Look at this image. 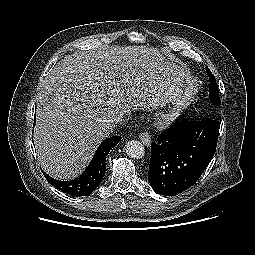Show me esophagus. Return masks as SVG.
<instances>
[{"label": "esophagus", "mask_w": 255, "mask_h": 255, "mask_svg": "<svg viewBox=\"0 0 255 255\" xmlns=\"http://www.w3.org/2000/svg\"><path fill=\"white\" fill-rule=\"evenodd\" d=\"M139 138L142 141V143L147 147H149L152 143L151 137L147 132L140 133Z\"/></svg>", "instance_id": "1"}]
</instances>
